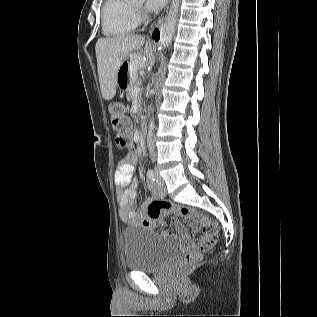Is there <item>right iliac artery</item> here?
Returning a JSON list of instances; mask_svg holds the SVG:
<instances>
[{"mask_svg":"<svg viewBox=\"0 0 317 317\" xmlns=\"http://www.w3.org/2000/svg\"><path fill=\"white\" fill-rule=\"evenodd\" d=\"M147 177L150 181H155L156 179V174L155 172L152 170V169H149L148 172H147Z\"/></svg>","mask_w":317,"mask_h":317,"instance_id":"right-iliac-artery-1","label":"right iliac artery"}]
</instances>
